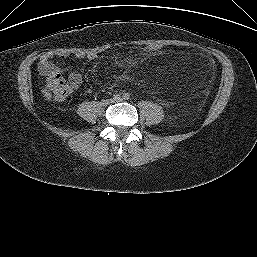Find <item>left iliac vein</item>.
<instances>
[{"instance_id": "obj_1", "label": "left iliac vein", "mask_w": 257, "mask_h": 257, "mask_svg": "<svg viewBox=\"0 0 257 257\" xmlns=\"http://www.w3.org/2000/svg\"><path fill=\"white\" fill-rule=\"evenodd\" d=\"M121 101H122V99H121V98H119V99L115 100V102H121Z\"/></svg>"}]
</instances>
